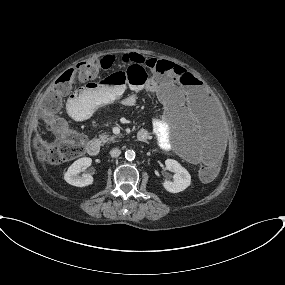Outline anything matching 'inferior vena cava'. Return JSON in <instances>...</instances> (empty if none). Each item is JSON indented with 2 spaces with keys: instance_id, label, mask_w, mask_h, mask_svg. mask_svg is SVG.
<instances>
[{
  "instance_id": "inferior-vena-cava-1",
  "label": "inferior vena cava",
  "mask_w": 285,
  "mask_h": 285,
  "mask_svg": "<svg viewBox=\"0 0 285 285\" xmlns=\"http://www.w3.org/2000/svg\"><path fill=\"white\" fill-rule=\"evenodd\" d=\"M120 154H121V150L118 149V148H114V149H112V150L110 151V155H111V157H113V158H116V157L120 156Z\"/></svg>"
}]
</instances>
